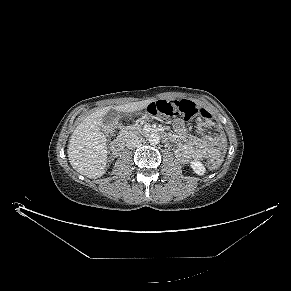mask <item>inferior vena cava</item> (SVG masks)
<instances>
[{"label": "inferior vena cava", "instance_id": "1", "mask_svg": "<svg viewBox=\"0 0 291 291\" xmlns=\"http://www.w3.org/2000/svg\"><path fill=\"white\" fill-rule=\"evenodd\" d=\"M141 144V139L137 136H134L132 138H129L126 142V146L129 148V149H133V148H136L138 147L139 145Z\"/></svg>", "mask_w": 291, "mask_h": 291}]
</instances>
